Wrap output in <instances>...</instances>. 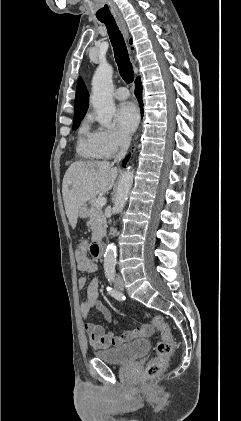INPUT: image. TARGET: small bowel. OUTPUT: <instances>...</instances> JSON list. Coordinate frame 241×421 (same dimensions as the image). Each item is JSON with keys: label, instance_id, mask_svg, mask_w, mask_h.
Returning <instances> with one entry per match:
<instances>
[{"label": "small bowel", "instance_id": "small-bowel-1", "mask_svg": "<svg viewBox=\"0 0 241 421\" xmlns=\"http://www.w3.org/2000/svg\"><path fill=\"white\" fill-rule=\"evenodd\" d=\"M76 263L80 271L95 274L98 271L97 263L89 258L88 255H81L76 252ZM78 288L86 289V299L80 305V312L84 319V329L88 336L91 346L95 349H106L110 347H118L125 342L136 338L149 336L153 333V327L150 324H144L132 330H127L121 335H115L112 331L107 330L101 325H97L89 320L92 310L99 311L103 318L108 322H112L110 310L99 301V280L97 277L88 282L87 278L80 277L78 279Z\"/></svg>", "mask_w": 241, "mask_h": 421}]
</instances>
